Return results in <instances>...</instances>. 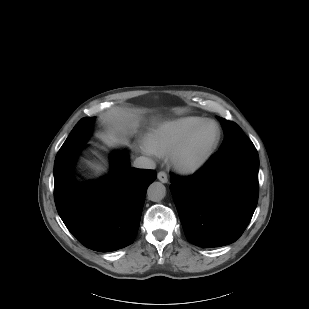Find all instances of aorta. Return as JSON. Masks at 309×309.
Returning <instances> with one entry per match:
<instances>
[{
	"instance_id": "762f6f07",
	"label": "aorta",
	"mask_w": 309,
	"mask_h": 309,
	"mask_svg": "<svg viewBox=\"0 0 309 309\" xmlns=\"http://www.w3.org/2000/svg\"><path fill=\"white\" fill-rule=\"evenodd\" d=\"M147 195L151 201L159 202L166 196V187L160 182H153L147 189Z\"/></svg>"
}]
</instances>
